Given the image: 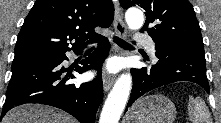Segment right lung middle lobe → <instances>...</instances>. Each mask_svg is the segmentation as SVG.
<instances>
[{
  "label": "right lung middle lobe",
  "mask_w": 221,
  "mask_h": 123,
  "mask_svg": "<svg viewBox=\"0 0 221 123\" xmlns=\"http://www.w3.org/2000/svg\"><path fill=\"white\" fill-rule=\"evenodd\" d=\"M61 54L57 53H43V54H30V55H15L14 60L12 62V66L21 64L28 61L33 60H41V59H56L59 58Z\"/></svg>",
  "instance_id": "dd1d6c3e"
}]
</instances>
